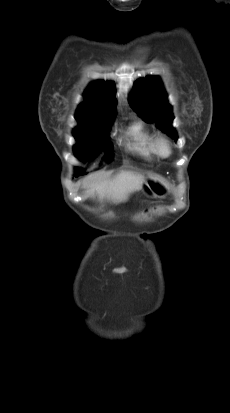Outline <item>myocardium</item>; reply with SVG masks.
<instances>
[{
	"mask_svg": "<svg viewBox=\"0 0 230 413\" xmlns=\"http://www.w3.org/2000/svg\"><path fill=\"white\" fill-rule=\"evenodd\" d=\"M156 152L160 157L167 158L172 154V145L165 136L155 139Z\"/></svg>",
	"mask_w": 230,
	"mask_h": 413,
	"instance_id": "f54148a6",
	"label": "myocardium"
}]
</instances>
